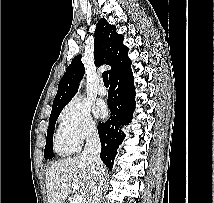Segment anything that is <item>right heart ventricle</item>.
Masks as SVG:
<instances>
[{"mask_svg": "<svg viewBox=\"0 0 214 203\" xmlns=\"http://www.w3.org/2000/svg\"><path fill=\"white\" fill-rule=\"evenodd\" d=\"M54 144L55 150L60 155L71 154L78 149L62 128L56 132Z\"/></svg>", "mask_w": 214, "mask_h": 203, "instance_id": "1", "label": "right heart ventricle"}]
</instances>
